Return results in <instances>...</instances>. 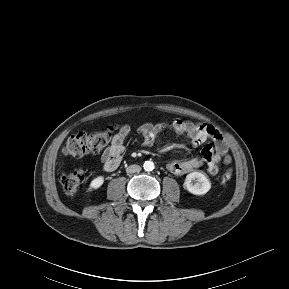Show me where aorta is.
Instances as JSON below:
<instances>
[{
  "instance_id": "1",
  "label": "aorta",
  "mask_w": 289,
  "mask_h": 289,
  "mask_svg": "<svg viewBox=\"0 0 289 289\" xmlns=\"http://www.w3.org/2000/svg\"><path fill=\"white\" fill-rule=\"evenodd\" d=\"M143 168L145 171H152L154 169V163L152 161H145L143 164Z\"/></svg>"
}]
</instances>
